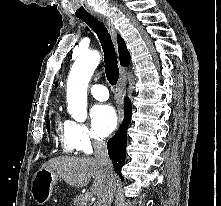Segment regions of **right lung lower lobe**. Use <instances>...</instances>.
<instances>
[{"label":"right lung lower lobe","mask_w":221,"mask_h":206,"mask_svg":"<svg viewBox=\"0 0 221 206\" xmlns=\"http://www.w3.org/2000/svg\"><path fill=\"white\" fill-rule=\"evenodd\" d=\"M124 107L125 116L124 122L119 129L120 133H116L107 143L109 157L112 159L114 168L122 180L121 168L125 162L127 146L126 128L128 127L132 116L131 102L128 98H125Z\"/></svg>","instance_id":"1"}]
</instances>
